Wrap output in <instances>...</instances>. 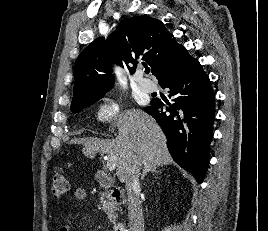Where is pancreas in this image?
Segmentation results:
<instances>
[{"instance_id": "cf45deb5", "label": "pancreas", "mask_w": 268, "mask_h": 231, "mask_svg": "<svg viewBox=\"0 0 268 231\" xmlns=\"http://www.w3.org/2000/svg\"><path fill=\"white\" fill-rule=\"evenodd\" d=\"M100 203L102 208L108 216L110 222L114 223L117 218L116 211L118 210V203L110 196V193L105 191L101 194Z\"/></svg>"}]
</instances>
